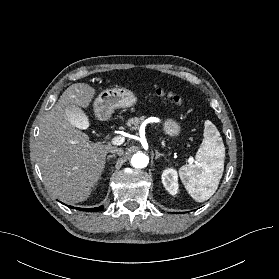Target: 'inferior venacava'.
<instances>
[{
	"mask_svg": "<svg viewBox=\"0 0 279 279\" xmlns=\"http://www.w3.org/2000/svg\"><path fill=\"white\" fill-rule=\"evenodd\" d=\"M111 153H116L118 154L119 156H122L123 155V149L121 148H117V147H113L111 150H110Z\"/></svg>",
	"mask_w": 279,
	"mask_h": 279,
	"instance_id": "1",
	"label": "inferior vena cava"
}]
</instances>
